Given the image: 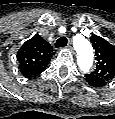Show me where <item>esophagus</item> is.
I'll return each instance as SVG.
<instances>
[{
    "instance_id": "obj_1",
    "label": "esophagus",
    "mask_w": 115,
    "mask_h": 119,
    "mask_svg": "<svg viewBox=\"0 0 115 119\" xmlns=\"http://www.w3.org/2000/svg\"><path fill=\"white\" fill-rule=\"evenodd\" d=\"M67 48H68V50H70V51L74 52V48L72 47V45H71V44H69V45L67 46Z\"/></svg>"
}]
</instances>
